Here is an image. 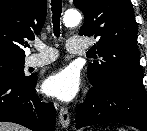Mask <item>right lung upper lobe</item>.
Instances as JSON below:
<instances>
[{
	"label": "right lung upper lobe",
	"instance_id": "right-lung-upper-lobe-1",
	"mask_svg": "<svg viewBox=\"0 0 147 131\" xmlns=\"http://www.w3.org/2000/svg\"><path fill=\"white\" fill-rule=\"evenodd\" d=\"M46 0H0V57L25 59L27 40L44 25Z\"/></svg>",
	"mask_w": 147,
	"mask_h": 131
}]
</instances>
